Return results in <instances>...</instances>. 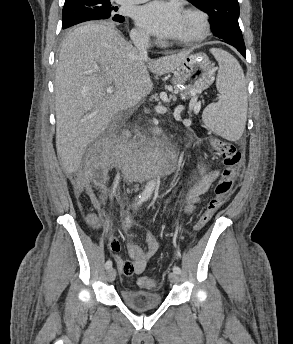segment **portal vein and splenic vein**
I'll return each instance as SVG.
<instances>
[{
    "label": "portal vein and splenic vein",
    "mask_w": 293,
    "mask_h": 344,
    "mask_svg": "<svg viewBox=\"0 0 293 344\" xmlns=\"http://www.w3.org/2000/svg\"><path fill=\"white\" fill-rule=\"evenodd\" d=\"M113 91H114V89H113L112 86H110V87H108V88L106 89V92H107L108 94L113 93ZM192 102H193L192 105H193V107H194V112H195V113H198V112L200 111V108H201V102H198L196 97L192 98ZM186 122H187V121H186Z\"/></svg>",
    "instance_id": "obj_1"
}]
</instances>
